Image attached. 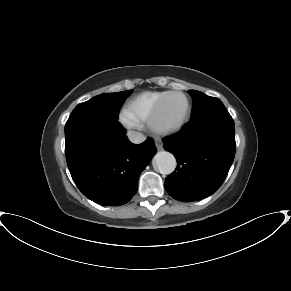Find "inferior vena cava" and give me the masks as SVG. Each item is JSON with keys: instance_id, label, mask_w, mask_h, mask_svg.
I'll use <instances>...</instances> for the list:
<instances>
[{"instance_id": "inferior-vena-cava-1", "label": "inferior vena cava", "mask_w": 291, "mask_h": 291, "mask_svg": "<svg viewBox=\"0 0 291 291\" xmlns=\"http://www.w3.org/2000/svg\"><path fill=\"white\" fill-rule=\"evenodd\" d=\"M127 136L129 138V140L135 144H140V143L145 141V136L140 132L129 131L127 133Z\"/></svg>"}]
</instances>
